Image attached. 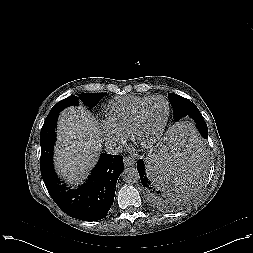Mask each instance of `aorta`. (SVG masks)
<instances>
[{
    "instance_id": "obj_1",
    "label": "aorta",
    "mask_w": 253,
    "mask_h": 253,
    "mask_svg": "<svg viewBox=\"0 0 253 253\" xmlns=\"http://www.w3.org/2000/svg\"><path fill=\"white\" fill-rule=\"evenodd\" d=\"M122 178L124 182L130 184V183H136L139 180L140 176L136 168L129 167V168L124 169L122 173Z\"/></svg>"
}]
</instances>
